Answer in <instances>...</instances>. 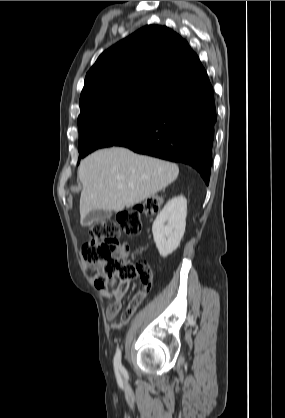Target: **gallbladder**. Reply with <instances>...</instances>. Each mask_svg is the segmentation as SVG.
Returning a JSON list of instances; mask_svg holds the SVG:
<instances>
[{
  "label": "gallbladder",
  "instance_id": "1",
  "mask_svg": "<svg viewBox=\"0 0 285 418\" xmlns=\"http://www.w3.org/2000/svg\"><path fill=\"white\" fill-rule=\"evenodd\" d=\"M111 216L112 211L110 210H92L81 219V224L83 226H89L94 222L110 219Z\"/></svg>",
  "mask_w": 285,
  "mask_h": 418
}]
</instances>
